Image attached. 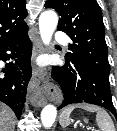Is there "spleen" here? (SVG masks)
I'll use <instances>...</instances> for the list:
<instances>
[{"mask_svg":"<svg viewBox=\"0 0 117 131\" xmlns=\"http://www.w3.org/2000/svg\"><path fill=\"white\" fill-rule=\"evenodd\" d=\"M75 108H82L89 112H96V123L99 126L101 131H115L114 123L110 117V115L106 112V110L87 103L77 104V105H70L66 107L60 115L59 123L61 126H67L70 123L69 117L71 112Z\"/></svg>","mask_w":117,"mask_h":131,"instance_id":"obj_1","label":"spleen"}]
</instances>
